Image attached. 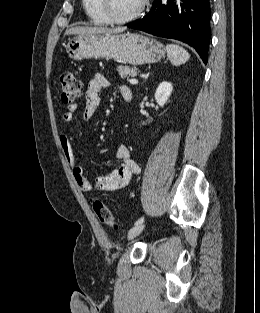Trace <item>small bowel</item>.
<instances>
[{"instance_id":"c3829d8e","label":"small bowel","mask_w":260,"mask_h":313,"mask_svg":"<svg viewBox=\"0 0 260 313\" xmlns=\"http://www.w3.org/2000/svg\"><path fill=\"white\" fill-rule=\"evenodd\" d=\"M109 85L108 79L103 74H96L89 82L86 90V104L83 110V119L91 120L100 104V94ZM119 94L125 102L132 100V92L127 86L119 88ZM77 110L76 104L68 106V110L63 114V121L71 123L74 119V113ZM60 145L66 159L68 160L73 178L78 187L87 193L101 191L114 192L126 187L133 176L139 172L137 163L131 157L129 149L121 145L117 148L116 158L121 161L119 166H115L110 172L106 174L97 175L94 181L91 182L85 176L83 168L77 162L75 151L70 138L66 134L60 136Z\"/></svg>"}]
</instances>
